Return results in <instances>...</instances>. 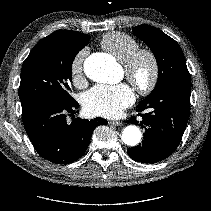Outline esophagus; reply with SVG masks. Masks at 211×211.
<instances>
[{"mask_svg": "<svg viewBox=\"0 0 211 211\" xmlns=\"http://www.w3.org/2000/svg\"><path fill=\"white\" fill-rule=\"evenodd\" d=\"M109 123L112 124V125H115V126H122L123 125V123L121 121H115V120H112Z\"/></svg>", "mask_w": 211, "mask_h": 211, "instance_id": "obj_1", "label": "esophagus"}]
</instances>
